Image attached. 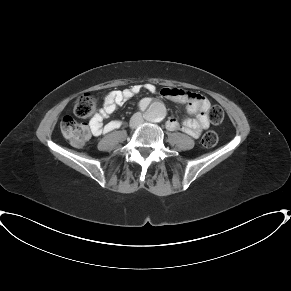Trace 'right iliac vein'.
I'll return each mask as SVG.
<instances>
[{"instance_id": "63e3f726", "label": "right iliac vein", "mask_w": 291, "mask_h": 291, "mask_svg": "<svg viewBox=\"0 0 291 291\" xmlns=\"http://www.w3.org/2000/svg\"><path fill=\"white\" fill-rule=\"evenodd\" d=\"M135 125H136V124H135V121H131V123H130V127H131V128H134Z\"/></svg>"}]
</instances>
